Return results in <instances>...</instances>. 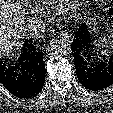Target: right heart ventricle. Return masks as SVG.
I'll use <instances>...</instances> for the list:
<instances>
[{"mask_svg":"<svg viewBox=\"0 0 113 113\" xmlns=\"http://www.w3.org/2000/svg\"><path fill=\"white\" fill-rule=\"evenodd\" d=\"M28 5L38 12H47L63 0H25Z\"/></svg>","mask_w":113,"mask_h":113,"instance_id":"right-heart-ventricle-1","label":"right heart ventricle"}]
</instances>
